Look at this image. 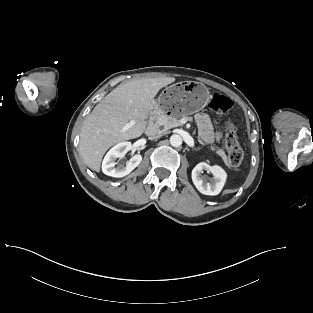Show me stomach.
Returning a JSON list of instances; mask_svg holds the SVG:
<instances>
[{
	"mask_svg": "<svg viewBox=\"0 0 313 313\" xmlns=\"http://www.w3.org/2000/svg\"><path fill=\"white\" fill-rule=\"evenodd\" d=\"M209 98V91L204 84L184 81L166 87L155 105L160 112L181 117L203 109Z\"/></svg>",
	"mask_w": 313,
	"mask_h": 313,
	"instance_id": "obj_1",
	"label": "stomach"
}]
</instances>
